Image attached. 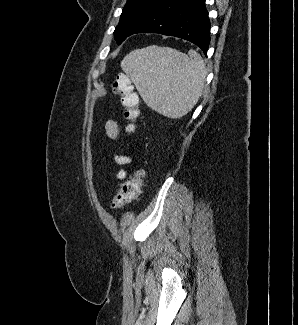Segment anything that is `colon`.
Segmentation results:
<instances>
[{"instance_id": "colon-1", "label": "colon", "mask_w": 298, "mask_h": 325, "mask_svg": "<svg viewBox=\"0 0 298 325\" xmlns=\"http://www.w3.org/2000/svg\"><path fill=\"white\" fill-rule=\"evenodd\" d=\"M113 92L119 96L120 104L124 108V117L128 120L126 132L131 133L135 129V123L139 118V97L135 92L129 77L126 74H119L112 83ZM145 173L138 169L123 182L116 195L111 201L112 208H122L138 198L144 185Z\"/></svg>"}]
</instances>
